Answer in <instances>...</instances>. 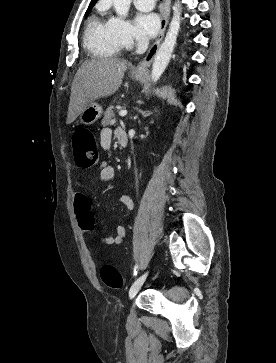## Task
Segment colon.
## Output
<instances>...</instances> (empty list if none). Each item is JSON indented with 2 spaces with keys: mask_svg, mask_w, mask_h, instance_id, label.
<instances>
[{
  "mask_svg": "<svg viewBox=\"0 0 276 363\" xmlns=\"http://www.w3.org/2000/svg\"><path fill=\"white\" fill-rule=\"evenodd\" d=\"M73 153L77 164L82 168H89L99 161V147L94 133L87 128H81L73 133ZM94 219V218H93ZM79 225L83 230L92 226L91 222L84 221L79 214ZM100 277L104 284L110 288H121L124 280L120 272L112 265H104L100 269Z\"/></svg>",
  "mask_w": 276,
  "mask_h": 363,
  "instance_id": "5ec220e1",
  "label": "colon"
}]
</instances>
